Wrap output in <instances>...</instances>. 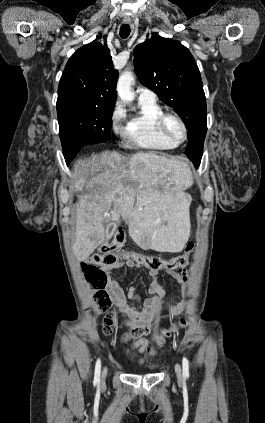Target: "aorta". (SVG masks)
Listing matches in <instances>:
<instances>
[{
  "label": "aorta",
  "instance_id": "762f6f07",
  "mask_svg": "<svg viewBox=\"0 0 265 423\" xmlns=\"http://www.w3.org/2000/svg\"><path fill=\"white\" fill-rule=\"evenodd\" d=\"M134 82L133 74L130 71H124L117 82V93L121 100L131 102L134 100V93L132 92V84Z\"/></svg>",
  "mask_w": 265,
  "mask_h": 423
}]
</instances>
